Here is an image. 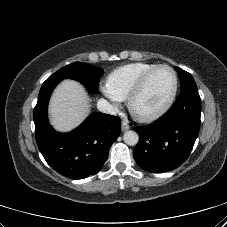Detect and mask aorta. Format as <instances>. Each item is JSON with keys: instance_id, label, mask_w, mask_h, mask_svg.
Segmentation results:
<instances>
[{"instance_id": "1", "label": "aorta", "mask_w": 227, "mask_h": 227, "mask_svg": "<svg viewBox=\"0 0 227 227\" xmlns=\"http://www.w3.org/2000/svg\"><path fill=\"white\" fill-rule=\"evenodd\" d=\"M124 142L129 146H134L138 143L139 136L134 131H126L123 136Z\"/></svg>"}]
</instances>
